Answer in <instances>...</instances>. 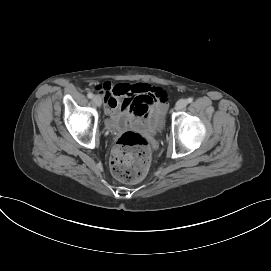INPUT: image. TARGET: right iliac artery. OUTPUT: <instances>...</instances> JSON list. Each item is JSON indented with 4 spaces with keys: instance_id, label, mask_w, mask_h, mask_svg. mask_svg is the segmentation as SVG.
Segmentation results:
<instances>
[{
    "instance_id": "obj_1",
    "label": "right iliac artery",
    "mask_w": 271,
    "mask_h": 271,
    "mask_svg": "<svg viewBox=\"0 0 271 271\" xmlns=\"http://www.w3.org/2000/svg\"><path fill=\"white\" fill-rule=\"evenodd\" d=\"M87 97H88L89 99H92V98H93V94H92V93H88V94H87Z\"/></svg>"
}]
</instances>
